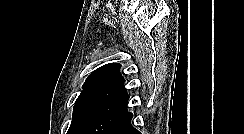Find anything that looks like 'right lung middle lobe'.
<instances>
[{"label":"right lung middle lobe","instance_id":"1","mask_svg":"<svg viewBox=\"0 0 244 134\" xmlns=\"http://www.w3.org/2000/svg\"><path fill=\"white\" fill-rule=\"evenodd\" d=\"M127 112V101L101 100L77 106L67 134H107Z\"/></svg>","mask_w":244,"mask_h":134}]
</instances>
